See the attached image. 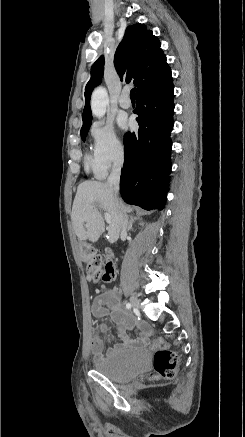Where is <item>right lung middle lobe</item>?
<instances>
[{"mask_svg": "<svg viewBox=\"0 0 245 437\" xmlns=\"http://www.w3.org/2000/svg\"><path fill=\"white\" fill-rule=\"evenodd\" d=\"M90 125H91V124H88V125L83 126V127L81 128V132H80V133H81V138H82L83 141H85V139H86V135H87V133H88V129H89Z\"/></svg>", "mask_w": 245, "mask_h": 437, "instance_id": "obj_1", "label": "right lung middle lobe"}]
</instances>
